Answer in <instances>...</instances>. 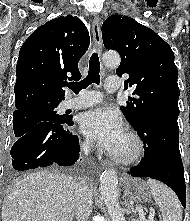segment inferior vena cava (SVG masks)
<instances>
[{"mask_svg":"<svg viewBox=\"0 0 190 221\" xmlns=\"http://www.w3.org/2000/svg\"><path fill=\"white\" fill-rule=\"evenodd\" d=\"M83 152L88 155L89 143L85 142L82 145ZM76 209L75 214L77 221H87L93 205V196L90 188L84 183H77L75 189Z\"/></svg>","mask_w":190,"mask_h":221,"instance_id":"inferior-vena-cava-1","label":"inferior vena cava"}]
</instances>
